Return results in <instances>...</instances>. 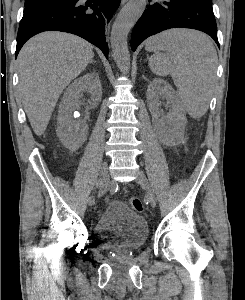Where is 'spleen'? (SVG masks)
<instances>
[{"instance_id":"obj_1","label":"spleen","mask_w":245,"mask_h":300,"mask_svg":"<svg viewBox=\"0 0 245 300\" xmlns=\"http://www.w3.org/2000/svg\"><path fill=\"white\" fill-rule=\"evenodd\" d=\"M145 49L154 52L149 58L151 71L158 76L171 75L189 115L203 116L212 96L217 64L212 42L197 31L171 29L150 37Z\"/></svg>"}]
</instances>
